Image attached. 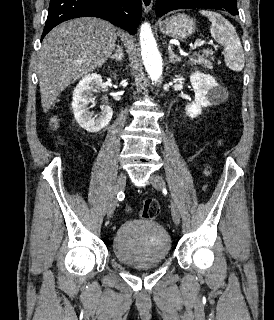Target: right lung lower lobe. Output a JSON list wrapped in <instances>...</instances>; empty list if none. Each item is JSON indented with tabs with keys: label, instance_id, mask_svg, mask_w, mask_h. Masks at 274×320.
I'll list each match as a JSON object with an SVG mask.
<instances>
[{
	"label": "right lung lower lobe",
	"instance_id": "1",
	"mask_svg": "<svg viewBox=\"0 0 274 320\" xmlns=\"http://www.w3.org/2000/svg\"><path fill=\"white\" fill-rule=\"evenodd\" d=\"M141 7V0H50L41 40L56 25L77 17H99L135 34Z\"/></svg>",
	"mask_w": 274,
	"mask_h": 320
}]
</instances>
